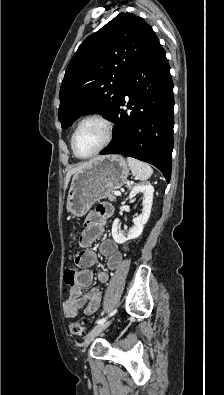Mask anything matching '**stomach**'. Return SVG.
Listing matches in <instances>:
<instances>
[{
  "instance_id": "stomach-1",
  "label": "stomach",
  "mask_w": 224,
  "mask_h": 395,
  "mask_svg": "<svg viewBox=\"0 0 224 395\" xmlns=\"http://www.w3.org/2000/svg\"><path fill=\"white\" fill-rule=\"evenodd\" d=\"M129 170L122 156L107 155L75 172L68 192L67 211L74 217L85 215L96 201L122 187Z\"/></svg>"
}]
</instances>
